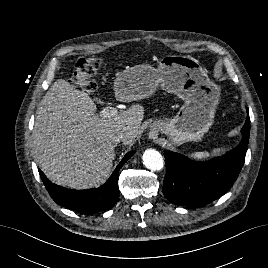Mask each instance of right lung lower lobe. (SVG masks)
Wrapping results in <instances>:
<instances>
[{
    "label": "right lung lower lobe",
    "instance_id": "obj_1",
    "mask_svg": "<svg viewBox=\"0 0 268 268\" xmlns=\"http://www.w3.org/2000/svg\"><path fill=\"white\" fill-rule=\"evenodd\" d=\"M134 153L135 151L127 153L107 182L96 189H67L50 182L41 170L39 174L50 196L57 204L77 212L93 214L110 209L118 201V172Z\"/></svg>",
    "mask_w": 268,
    "mask_h": 268
}]
</instances>
